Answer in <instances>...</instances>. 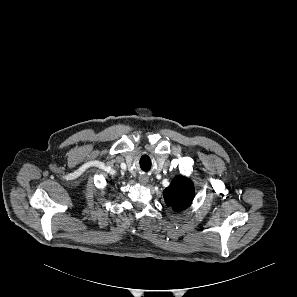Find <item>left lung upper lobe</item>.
<instances>
[{
  "label": "left lung upper lobe",
  "instance_id": "left-lung-upper-lobe-1",
  "mask_svg": "<svg viewBox=\"0 0 297 297\" xmlns=\"http://www.w3.org/2000/svg\"><path fill=\"white\" fill-rule=\"evenodd\" d=\"M166 204L175 211L190 206L194 197L193 183L186 177L179 176L163 191Z\"/></svg>",
  "mask_w": 297,
  "mask_h": 297
}]
</instances>
